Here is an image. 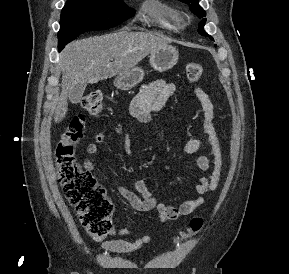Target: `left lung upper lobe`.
<instances>
[{
	"mask_svg": "<svg viewBox=\"0 0 289 274\" xmlns=\"http://www.w3.org/2000/svg\"><path fill=\"white\" fill-rule=\"evenodd\" d=\"M183 3L186 4H190V10L196 14L199 18H203L206 16L205 11L202 9V7H200L199 0H179ZM206 19L204 18L200 23H199V34L203 35V36H208L211 40H213V38L211 36H209L205 31H204V25H205Z\"/></svg>",
	"mask_w": 289,
	"mask_h": 274,
	"instance_id": "1",
	"label": "left lung upper lobe"
}]
</instances>
